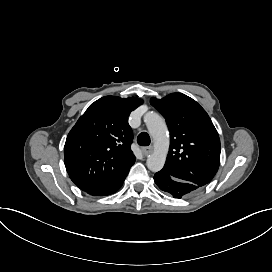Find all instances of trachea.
<instances>
[{
  "instance_id": "1",
  "label": "trachea",
  "mask_w": 272,
  "mask_h": 272,
  "mask_svg": "<svg viewBox=\"0 0 272 272\" xmlns=\"http://www.w3.org/2000/svg\"><path fill=\"white\" fill-rule=\"evenodd\" d=\"M137 142L140 146H149L150 145V137L148 133L142 132L137 137Z\"/></svg>"
}]
</instances>
